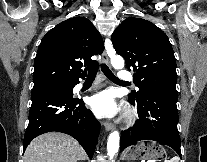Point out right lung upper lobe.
I'll list each match as a JSON object with an SVG mask.
<instances>
[{
	"label": "right lung upper lobe",
	"mask_w": 207,
	"mask_h": 162,
	"mask_svg": "<svg viewBox=\"0 0 207 162\" xmlns=\"http://www.w3.org/2000/svg\"><path fill=\"white\" fill-rule=\"evenodd\" d=\"M103 50L102 37L87 18L74 17L59 23L39 45L33 88L68 84L84 78L88 67L95 63L91 57Z\"/></svg>",
	"instance_id": "right-lung-upper-lobe-1"
}]
</instances>
